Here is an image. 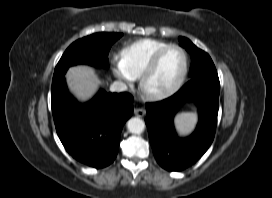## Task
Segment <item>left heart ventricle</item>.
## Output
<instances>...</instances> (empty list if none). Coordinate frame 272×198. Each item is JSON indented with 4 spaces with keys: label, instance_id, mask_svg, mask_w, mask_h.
<instances>
[{
    "label": "left heart ventricle",
    "instance_id": "b2bd125f",
    "mask_svg": "<svg viewBox=\"0 0 272 198\" xmlns=\"http://www.w3.org/2000/svg\"><path fill=\"white\" fill-rule=\"evenodd\" d=\"M184 57L180 50L171 49L161 58L158 67L146 82L150 92L165 91L172 87L183 71Z\"/></svg>",
    "mask_w": 272,
    "mask_h": 198
}]
</instances>
